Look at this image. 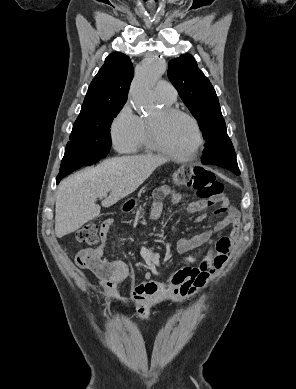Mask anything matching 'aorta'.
Instances as JSON below:
<instances>
[{
    "instance_id": "1",
    "label": "aorta",
    "mask_w": 296,
    "mask_h": 389,
    "mask_svg": "<svg viewBox=\"0 0 296 389\" xmlns=\"http://www.w3.org/2000/svg\"><path fill=\"white\" fill-rule=\"evenodd\" d=\"M165 70V61L157 55L148 56L137 68L130 88L131 100L136 108L149 109L155 105L152 88Z\"/></svg>"
}]
</instances>
